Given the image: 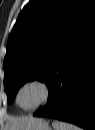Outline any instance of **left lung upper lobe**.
Returning a JSON list of instances; mask_svg holds the SVG:
<instances>
[{
    "mask_svg": "<svg viewBox=\"0 0 95 130\" xmlns=\"http://www.w3.org/2000/svg\"><path fill=\"white\" fill-rule=\"evenodd\" d=\"M94 13V0H33L23 8L8 38L3 64L9 103L27 81L50 85L67 46Z\"/></svg>",
    "mask_w": 95,
    "mask_h": 130,
    "instance_id": "obj_1",
    "label": "left lung upper lobe"
}]
</instances>
